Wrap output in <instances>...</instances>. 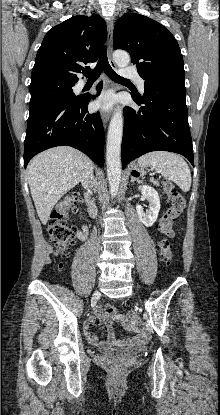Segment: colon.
<instances>
[{"instance_id": "1", "label": "colon", "mask_w": 220, "mask_h": 415, "mask_svg": "<svg viewBox=\"0 0 220 415\" xmlns=\"http://www.w3.org/2000/svg\"><path fill=\"white\" fill-rule=\"evenodd\" d=\"M162 187L168 196L170 206L159 221L158 228L164 238L159 241L158 250L162 260L166 264H171L173 261V246L170 239L174 236V223L184 210L185 200L171 181L164 180ZM80 202L81 199L78 194H70L60 200L50 214L49 235L59 254H66L74 243L76 228L69 224L68 219L71 213L78 210ZM104 313L107 317L113 319L117 315V308L112 304H107ZM115 368L120 370L119 365H115Z\"/></svg>"}]
</instances>
